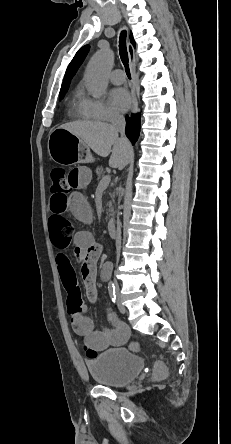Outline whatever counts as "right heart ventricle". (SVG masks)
Here are the masks:
<instances>
[{
  "instance_id": "right-heart-ventricle-1",
  "label": "right heart ventricle",
  "mask_w": 231,
  "mask_h": 444,
  "mask_svg": "<svg viewBox=\"0 0 231 444\" xmlns=\"http://www.w3.org/2000/svg\"><path fill=\"white\" fill-rule=\"evenodd\" d=\"M71 114L79 119H90L88 114L83 108V99H81L78 93L75 94L71 103Z\"/></svg>"
}]
</instances>
